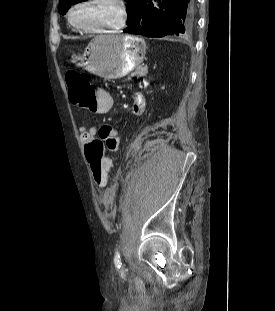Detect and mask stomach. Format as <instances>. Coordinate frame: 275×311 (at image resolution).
I'll return each instance as SVG.
<instances>
[{"mask_svg": "<svg viewBox=\"0 0 275 311\" xmlns=\"http://www.w3.org/2000/svg\"><path fill=\"white\" fill-rule=\"evenodd\" d=\"M146 53L143 39L130 35H99L70 62L105 79L121 78L137 68Z\"/></svg>", "mask_w": 275, "mask_h": 311, "instance_id": "0dacf381", "label": "stomach"}]
</instances>
